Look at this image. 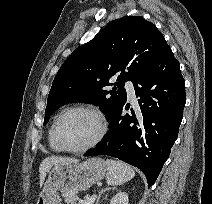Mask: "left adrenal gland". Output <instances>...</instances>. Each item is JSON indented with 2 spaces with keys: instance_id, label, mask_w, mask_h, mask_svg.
Instances as JSON below:
<instances>
[{
  "instance_id": "obj_1",
  "label": "left adrenal gland",
  "mask_w": 212,
  "mask_h": 204,
  "mask_svg": "<svg viewBox=\"0 0 212 204\" xmlns=\"http://www.w3.org/2000/svg\"><path fill=\"white\" fill-rule=\"evenodd\" d=\"M110 189H112V188L106 187V188L102 189V190L99 192L98 197H97V199H96V204H99L101 195H102L105 191H108V190H110ZM113 189H114V188H113Z\"/></svg>"
}]
</instances>
